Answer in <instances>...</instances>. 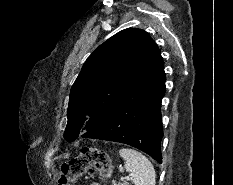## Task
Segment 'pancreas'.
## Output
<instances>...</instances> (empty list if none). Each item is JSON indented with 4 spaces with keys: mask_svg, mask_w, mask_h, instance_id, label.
Returning a JSON list of instances; mask_svg holds the SVG:
<instances>
[{
    "mask_svg": "<svg viewBox=\"0 0 233 185\" xmlns=\"http://www.w3.org/2000/svg\"><path fill=\"white\" fill-rule=\"evenodd\" d=\"M112 185H129L128 182L124 181L123 183H116L115 181L112 182Z\"/></svg>",
    "mask_w": 233,
    "mask_h": 185,
    "instance_id": "cf45deb5",
    "label": "pancreas"
}]
</instances>
